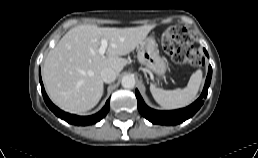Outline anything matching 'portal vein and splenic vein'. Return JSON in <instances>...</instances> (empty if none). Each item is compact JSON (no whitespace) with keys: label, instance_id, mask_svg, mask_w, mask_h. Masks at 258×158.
I'll return each instance as SVG.
<instances>
[{"label":"portal vein and splenic vein","instance_id":"obj_1","mask_svg":"<svg viewBox=\"0 0 258 158\" xmlns=\"http://www.w3.org/2000/svg\"><path fill=\"white\" fill-rule=\"evenodd\" d=\"M107 47H108V41L106 39H102L101 40V45H100V47L98 49V53L100 55H104L106 50H107Z\"/></svg>","mask_w":258,"mask_h":158}]
</instances>
